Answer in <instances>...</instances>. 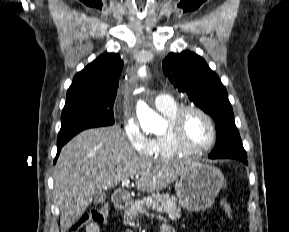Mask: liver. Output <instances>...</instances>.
<instances>
[{
    "mask_svg": "<svg viewBox=\"0 0 289 232\" xmlns=\"http://www.w3.org/2000/svg\"><path fill=\"white\" fill-rule=\"evenodd\" d=\"M191 161L138 156L118 127L81 132L61 150L53 172V197L60 210L61 232H66L92 202L96 191L113 188L140 176L139 191H161L191 165Z\"/></svg>",
    "mask_w": 289,
    "mask_h": 232,
    "instance_id": "6515ba94",
    "label": "liver"
}]
</instances>
